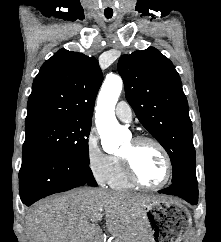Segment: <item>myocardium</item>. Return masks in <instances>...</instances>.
<instances>
[{
	"instance_id": "obj_1",
	"label": "myocardium",
	"mask_w": 221,
	"mask_h": 242,
	"mask_svg": "<svg viewBox=\"0 0 221 242\" xmlns=\"http://www.w3.org/2000/svg\"><path fill=\"white\" fill-rule=\"evenodd\" d=\"M132 141L135 146H139V145H142L145 143H150V144L155 145L159 149V151L162 153V155L165 159L166 172H165L164 179L160 183H158L156 185H149V184L145 183L144 181H142V179L137 174V172L134 168L132 154L131 153L121 154L120 158L122 160L124 170H125L128 178L135 185H137L141 188L148 189V190L161 189L170 181L171 176H172V171H173L172 170V160H171V157H170L167 149L164 147V145L160 141H158L157 139L150 137V136L139 135V136L134 137L132 139Z\"/></svg>"
}]
</instances>
